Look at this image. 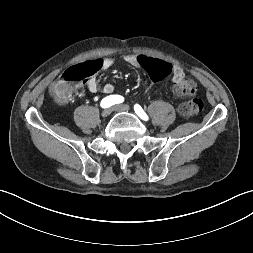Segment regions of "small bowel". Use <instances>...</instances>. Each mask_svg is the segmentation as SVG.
<instances>
[{
	"label": "small bowel",
	"mask_w": 253,
	"mask_h": 253,
	"mask_svg": "<svg viewBox=\"0 0 253 253\" xmlns=\"http://www.w3.org/2000/svg\"><path fill=\"white\" fill-rule=\"evenodd\" d=\"M139 54H129L124 57V61L128 63L129 65L136 67V68H141L139 64L136 63L135 58ZM147 56V55H146ZM100 64V69L101 70H108L114 65V59L113 58H104L97 60ZM171 66V65H170ZM171 80L173 82H177L181 77L184 76V70L180 66H171ZM86 87L88 90L92 93L97 92L98 90V81L95 77H91L86 81ZM103 92L105 94H112L114 92V86L110 83H107L103 86Z\"/></svg>",
	"instance_id": "small-bowel-1"
}]
</instances>
